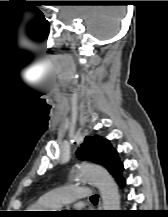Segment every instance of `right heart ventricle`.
<instances>
[{
	"label": "right heart ventricle",
	"instance_id": "obj_1",
	"mask_svg": "<svg viewBox=\"0 0 168 217\" xmlns=\"http://www.w3.org/2000/svg\"><path fill=\"white\" fill-rule=\"evenodd\" d=\"M47 209L48 207L39 199L28 207V212H30V214H34L36 212L45 211Z\"/></svg>",
	"mask_w": 168,
	"mask_h": 217
}]
</instances>
